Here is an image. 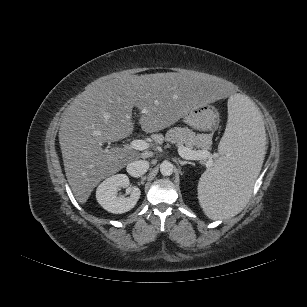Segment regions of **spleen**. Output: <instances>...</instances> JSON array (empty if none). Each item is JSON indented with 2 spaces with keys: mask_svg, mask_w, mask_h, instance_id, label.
<instances>
[{
  "mask_svg": "<svg viewBox=\"0 0 307 307\" xmlns=\"http://www.w3.org/2000/svg\"><path fill=\"white\" fill-rule=\"evenodd\" d=\"M228 122L220 142L223 154L201 176L198 200L213 220L238 214L251 198L254 184L267 157L262 116L243 95L228 102Z\"/></svg>",
  "mask_w": 307,
  "mask_h": 307,
  "instance_id": "spleen-1",
  "label": "spleen"
}]
</instances>
